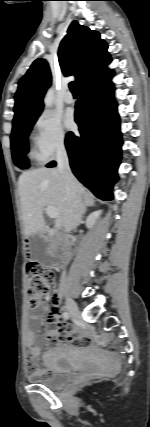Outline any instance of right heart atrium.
I'll return each instance as SVG.
<instances>
[{
  "label": "right heart atrium",
  "mask_w": 150,
  "mask_h": 427,
  "mask_svg": "<svg viewBox=\"0 0 150 427\" xmlns=\"http://www.w3.org/2000/svg\"><path fill=\"white\" fill-rule=\"evenodd\" d=\"M34 143L43 160L52 159L65 150L66 133L60 119L50 113L40 114L34 123Z\"/></svg>",
  "instance_id": "d8ad5b80"
}]
</instances>
